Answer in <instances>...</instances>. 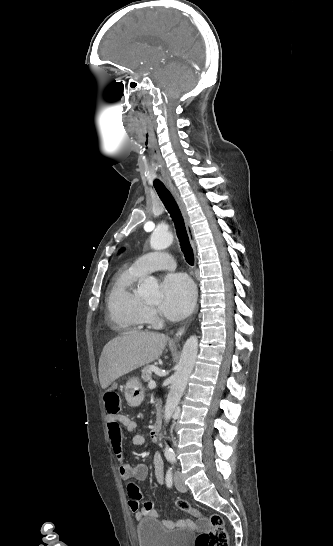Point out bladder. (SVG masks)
<instances>
[{
  "label": "bladder",
  "instance_id": "1",
  "mask_svg": "<svg viewBox=\"0 0 333 546\" xmlns=\"http://www.w3.org/2000/svg\"><path fill=\"white\" fill-rule=\"evenodd\" d=\"M136 534L139 546H191L194 538L191 530H167L152 517H143L139 520Z\"/></svg>",
  "mask_w": 333,
  "mask_h": 546
}]
</instances>
